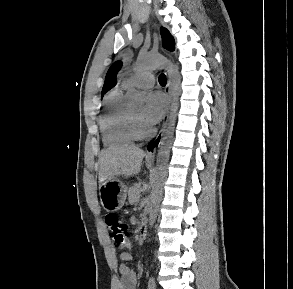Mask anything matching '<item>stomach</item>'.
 Segmentation results:
<instances>
[{"mask_svg": "<svg viewBox=\"0 0 293 289\" xmlns=\"http://www.w3.org/2000/svg\"><path fill=\"white\" fill-rule=\"evenodd\" d=\"M101 205L108 211L119 210L125 203L127 187L117 177L99 185Z\"/></svg>", "mask_w": 293, "mask_h": 289, "instance_id": "stomach-1", "label": "stomach"}]
</instances>
